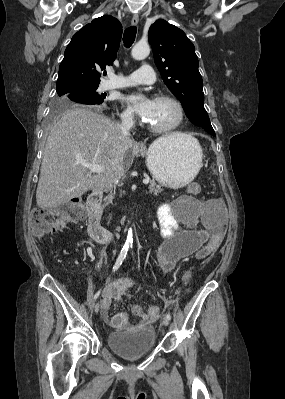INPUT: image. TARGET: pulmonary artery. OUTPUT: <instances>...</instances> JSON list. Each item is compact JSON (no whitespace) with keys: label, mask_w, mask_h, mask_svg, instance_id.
I'll list each match as a JSON object with an SVG mask.
<instances>
[{"label":"pulmonary artery","mask_w":285,"mask_h":399,"mask_svg":"<svg viewBox=\"0 0 285 399\" xmlns=\"http://www.w3.org/2000/svg\"><path fill=\"white\" fill-rule=\"evenodd\" d=\"M155 80L151 67L147 64L142 65L138 70L124 76L114 75L104 82V89H118L137 84H149Z\"/></svg>","instance_id":"pulmonary-artery-1"}]
</instances>
